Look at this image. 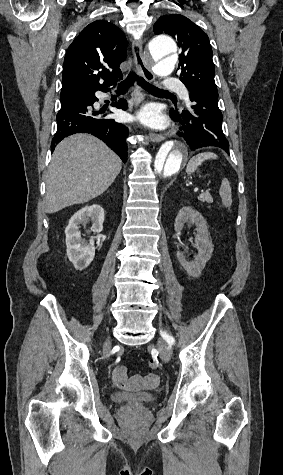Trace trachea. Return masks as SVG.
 Here are the masks:
<instances>
[{"mask_svg":"<svg viewBox=\"0 0 283 475\" xmlns=\"http://www.w3.org/2000/svg\"><path fill=\"white\" fill-rule=\"evenodd\" d=\"M136 81L138 82L139 86H141L143 89H145L149 93H154V94H157V95H162V94L163 95H172L167 90H162V88L154 87V85H151V83H148L143 78H140L139 76H137V74L134 73V71L129 73L127 78L119 84L117 92L126 91L127 89H129V87L133 86L134 82H136Z\"/></svg>","mask_w":283,"mask_h":475,"instance_id":"obj_1","label":"trachea"}]
</instances>
